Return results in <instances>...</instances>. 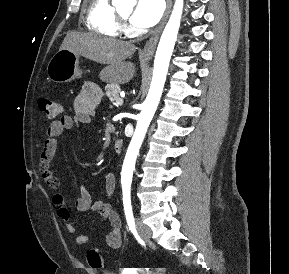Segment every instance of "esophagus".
I'll return each instance as SVG.
<instances>
[{
  "instance_id": "1",
  "label": "esophagus",
  "mask_w": 289,
  "mask_h": 274,
  "mask_svg": "<svg viewBox=\"0 0 289 274\" xmlns=\"http://www.w3.org/2000/svg\"><path fill=\"white\" fill-rule=\"evenodd\" d=\"M167 3V7H166V11L164 13V16L160 22V25L156 28V30L153 32V34L151 35V37L149 38V40L146 42L143 50L141 51V54L143 56H151L154 54L159 36L162 32V29L166 23V20L169 16L170 10H171V6H172V0H166Z\"/></svg>"
}]
</instances>
